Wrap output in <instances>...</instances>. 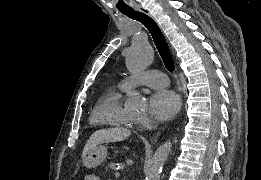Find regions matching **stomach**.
Wrapping results in <instances>:
<instances>
[{"label": "stomach", "mask_w": 261, "mask_h": 180, "mask_svg": "<svg viewBox=\"0 0 261 180\" xmlns=\"http://www.w3.org/2000/svg\"><path fill=\"white\" fill-rule=\"evenodd\" d=\"M107 154L108 152L106 146L97 145L83 157V164L89 169L95 168L105 161Z\"/></svg>", "instance_id": "1"}]
</instances>
